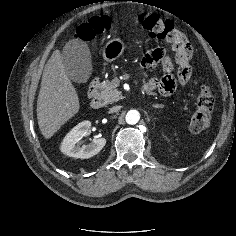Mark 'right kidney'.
Listing matches in <instances>:
<instances>
[{
	"label": "right kidney",
	"instance_id": "1",
	"mask_svg": "<svg viewBox=\"0 0 236 236\" xmlns=\"http://www.w3.org/2000/svg\"><path fill=\"white\" fill-rule=\"evenodd\" d=\"M90 121H83L75 126L63 139L61 152L74 158L88 159L98 154L106 144L105 138H94L91 143L83 146L76 145L89 133Z\"/></svg>",
	"mask_w": 236,
	"mask_h": 236
}]
</instances>
